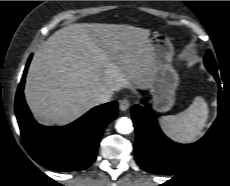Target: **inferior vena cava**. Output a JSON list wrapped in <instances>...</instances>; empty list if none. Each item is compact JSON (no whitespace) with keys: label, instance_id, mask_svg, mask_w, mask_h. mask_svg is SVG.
Masks as SVG:
<instances>
[{"label":"inferior vena cava","instance_id":"obj_1","mask_svg":"<svg viewBox=\"0 0 230 186\" xmlns=\"http://www.w3.org/2000/svg\"><path fill=\"white\" fill-rule=\"evenodd\" d=\"M111 93H101L95 98L97 104H103L111 100Z\"/></svg>","mask_w":230,"mask_h":186}]
</instances>
